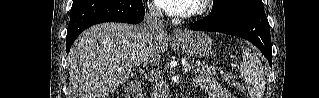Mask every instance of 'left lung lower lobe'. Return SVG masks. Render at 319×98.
Here are the masks:
<instances>
[{
    "label": "left lung lower lobe",
    "instance_id": "1",
    "mask_svg": "<svg viewBox=\"0 0 319 98\" xmlns=\"http://www.w3.org/2000/svg\"><path fill=\"white\" fill-rule=\"evenodd\" d=\"M191 30L214 31L242 37L252 42L272 66L270 26L262 3H249L228 16L214 21L201 20L190 24Z\"/></svg>",
    "mask_w": 319,
    "mask_h": 98
}]
</instances>
